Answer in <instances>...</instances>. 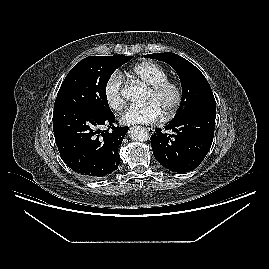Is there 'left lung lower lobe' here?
Segmentation results:
<instances>
[{
    "label": "left lung lower lobe",
    "mask_w": 269,
    "mask_h": 269,
    "mask_svg": "<svg viewBox=\"0 0 269 269\" xmlns=\"http://www.w3.org/2000/svg\"><path fill=\"white\" fill-rule=\"evenodd\" d=\"M216 105H203L151 136L154 157L166 169L186 173L198 167L210 150L215 128Z\"/></svg>",
    "instance_id": "left-lung-lower-lobe-1"
}]
</instances>
